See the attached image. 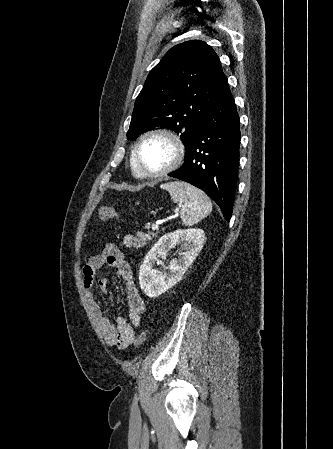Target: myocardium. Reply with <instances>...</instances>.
I'll use <instances>...</instances> for the list:
<instances>
[{"mask_svg": "<svg viewBox=\"0 0 333 449\" xmlns=\"http://www.w3.org/2000/svg\"><path fill=\"white\" fill-rule=\"evenodd\" d=\"M153 137H161L168 140L172 146L173 154L171 161L164 168L157 171H147L141 164L139 153L142 144L147 139ZM132 156L140 178L157 179L168 175L169 173L173 172L180 166L185 157V146L182 140L179 138V136L176 135L174 132L168 129H161V128L151 129L144 132L138 138L137 142L134 145Z\"/></svg>", "mask_w": 333, "mask_h": 449, "instance_id": "f54148a6", "label": "myocardium"}]
</instances>
